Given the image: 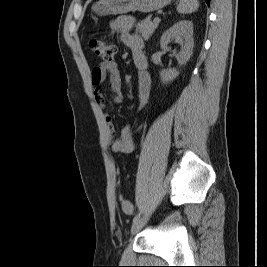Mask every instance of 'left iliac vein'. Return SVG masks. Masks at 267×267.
<instances>
[{
	"mask_svg": "<svg viewBox=\"0 0 267 267\" xmlns=\"http://www.w3.org/2000/svg\"><path fill=\"white\" fill-rule=\"evenodd\" d=\"M149 220V214L139 218L135 223H133L131 227V235H135L138 233L147 223Z\"/></svg>",
	"mask_w": 267,
	"mask_h": 267,
	"instance_id": "left-iliac-vein-1",
	"label": "left iliac vein"
}]
</instances>
